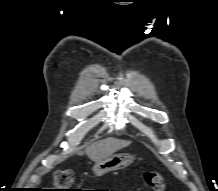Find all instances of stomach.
<instances>
[{
	"label": "stomach",
	"instance_id": "1",
	"mask_svg": "<svg viewBox=\"0 0 218 191\" xmlns=\"http://www.w3.org/2000/svg\"><path fill=\"white\" fill-rule=\"evenodd\" d=\"M133 162L129 154H114L95 163L93 171L96 176H102L108 172L126 168Z\"/></svg>",
	"mask_w": 218,
	"mask_h": 191
}]
</instances>
